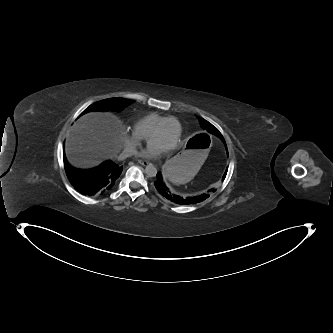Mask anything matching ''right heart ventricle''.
<instances>
[{
  "mask_svg": "<svg viewBox=\"0 0 333 333\" xmlns=\"http://www.w3.org/2000/svg\"><path fill=\"white\" fill-rule=\"evenodd\" d=\"M168 117V115H162L156 112L149 113L136 121L134 131L143 139H147L159 123Z\"/></svg>",
  "mask_w": 333,
  "mask_h": 333,
  "instance_id": "obj_1",
  "label": "right heart ventricle"
}]
</instances>
